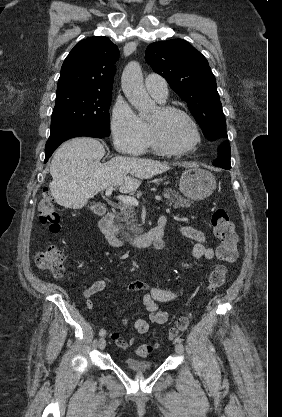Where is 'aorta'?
<instances>
[{
  "instance_id": "1",
  "label": "aorta",
  "mask_w": 282,
  "mask_h": 417,
  "mask_svg": "<svg viewBox=\"0 0 282 417\" xmlns=\"http://www.w3.org/2000/svg\"><path fill=\"white\" fill-rule=\"evenodd\" d=\"M123 92L138 110L140 118H149L157 108L156 102L150 98L143 82V74L139 62L131 60L126 64L121 76Z\"/></svg>"
}]
</instances>
